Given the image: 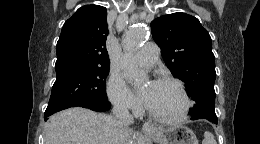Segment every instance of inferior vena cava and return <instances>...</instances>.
I'll return each mask as SVG.
<instances>
[{
  "label": "inferior vena cava",
  "instance_id": "602c4592",
  "mask_svg": "<svg viewBox=\"0 0 260 144\" xmlns=\"http://www.w3.org/2000/svg\"><path fill=\"white\" fill-rule=\"evenodd\" d=\"M112 111L119 126L126 127L134 123V119L130 114L128 107L125 103L122 102L116 103Z\"/></svg>",
  "mask_w": 260,
  "mask_h": 144
}]
</instances>
